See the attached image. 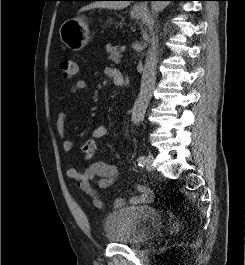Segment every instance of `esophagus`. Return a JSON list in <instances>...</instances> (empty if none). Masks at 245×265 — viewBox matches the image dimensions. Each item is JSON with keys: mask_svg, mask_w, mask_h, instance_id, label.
Returning a JSON list of instances; mask_svg holds the SVG:
<instances>
[{"mask_svg": "<svg viewBox=\"0 0 245 265\" xmlns=\"http://www.w3.org/2000/svg\"><path fill=\"white\" fill-rule=\"evenodd\" d=\"M146 8H147V4L144 1L136 4L135 7H134V9L137 10V11H145Z\"/></svg>", "mask_w": 245, "mask_h": 265, "instance_id": "obj_1", "label": "esophagus"}]
</instances>
